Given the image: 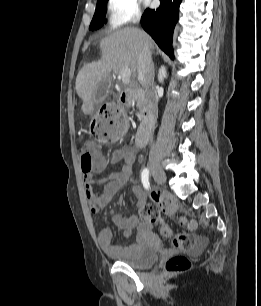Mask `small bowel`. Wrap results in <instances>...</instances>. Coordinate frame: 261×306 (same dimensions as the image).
<instances>
[{"label":"small bowel","instance_id":"small-bowel-1","mask_svg":"<svg viewBox=\"0 0 261 306\" xmlns=\"http://www.w3.org/2000/svg\"><path fill=\"white\" fill-rule=\"evenodd\" d=\"M135 162V151L129 147L123 146L113 151L110 160L103 158L99 165L91 171H82L85 195L92 212L109 205L117 193L128 183L133 175ZM108 164H120V170L110 173L107 177L96 179V175L103 172ZM95 184L103 187L102 192L95 190ZM132 192L138 200V206L146 201V194L138 185L132 187ZM113 223L124 231V235L129 237L132 231L140 225V220L136 215L121 216L116 215L112 218ZM143 228L146 225H142ZM97 241L101 249L108 256L115 258L124 257L133 251L131 246H119L113 243V232L108 227H103L97 236Z\"/></svg>","mask_w":261,"mask_h":306}]
</instances>
